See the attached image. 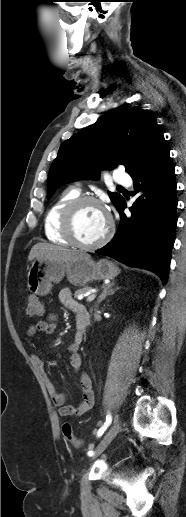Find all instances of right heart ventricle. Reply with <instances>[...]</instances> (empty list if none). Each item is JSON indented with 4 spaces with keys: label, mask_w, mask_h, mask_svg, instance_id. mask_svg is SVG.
Returning <instances> with one entry per match:
<instances>
[{
    "label": "right heart ventricle",
    "mask_w": 186,
    "mask_h": 517,
    "mask_svg": "<svg viewBox=\"0 0 186 517\" xmlns=\"http://www.w3.org/2000/svg\"><path fill=\"white\" fill-rule=\"evenodd\" d=\"M79 196V190L68 188L61 192L49 206L44 217V232L49 241L64 245L70 244L62 231V216L70 202Z\"/></svg>",
    "instance_id": "e07e8e85"
}]
</instances>
